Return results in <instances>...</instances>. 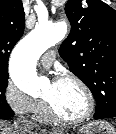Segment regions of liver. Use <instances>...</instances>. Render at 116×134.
<instances>
[{
  "instance_id": "obj_1",
  "label": "liver",
  "mask_w": 116,
  "mask_h": 134,
  "mask_svg": "<svg viewBox=\"0 0 116 134\" xmlns=\"http://www.w3.org/2000/svg\"><path fill=\"white\" fill-rule=\"evenodd\" d=\"M0 134H34L32 131L23 132L18 126L0 121Z\"/></svg>"
}]
</instances>
